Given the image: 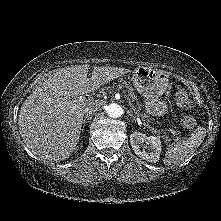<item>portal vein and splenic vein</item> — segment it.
Here are the masks:
<instances>
[{"label": "portal vein and splenic vein", "instance_id": "1", "mask_svg": "<svg viewBox=\"0 0 221 221\" xmlns=\"http://www.w3.org/2000/svg\"><path fill=\"white\" fill-rule=\"evenodd\" d=\"M122 92L125 93V91H122ZM126 96H127V95H126ZM127 99H128L129 105H130V106L132 107V109L135 111L134 106L132 105L130 98L127 97ZM84 101H85V98L82 97V96H80V97H77V98H75L74 100H72V103H82V102H84ZM137 117H138V118H137V119H138V122L141 123V121H144V120H141V119L139 118V115H138V114H137ZM143 124H144V126H148V124L145 123V122H143ZM149 129L152 130V131H154L153 128H150V127H149Z\"/></svg>", "mask_w": 221, "mask_h": 221}]
</instances>
